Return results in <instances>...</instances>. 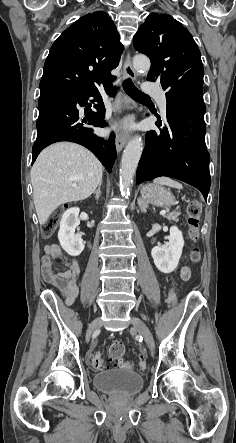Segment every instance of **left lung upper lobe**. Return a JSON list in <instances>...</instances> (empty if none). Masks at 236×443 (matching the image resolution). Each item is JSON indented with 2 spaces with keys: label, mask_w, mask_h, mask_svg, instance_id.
Segmentation results:
<instances>
[{
  "label": "left lung upper lobe",
  "mask_w": 236,
  "mask_h": 443,
  "mask_svg": "<svg viewBox=\"0 0 236 443\" xmlns=\"http://www.w3.org/2000/svg\"><path fill=\"white\" fill-rule=\"evenodd\" d=\"M134 48L151 60L148 81H160L166 95L202 91L204 68L190 32L168 14L151 13L133 38Z\"/></svg>",
  "instance_id": "5c2ea615"
}]
</instances>
